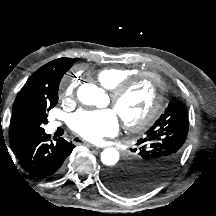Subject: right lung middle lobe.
Returning <instances> with one entry per match:
<instances>
[{
  "mask_svg": "<svg viewBox=\"0 0 216 216\" xmlns=\"http://www.w3.org/2000/svg\"><path fill=\"white\" fill-rule=\"evenodd\" d=\"M50 109L51 108H47V109L43 110L41 116L31 123L32 132H40V131L44 130L42 128V125L46 124L48 122L46 111H49Z\"/></svg>",
  "mask_w": 216,
  "mask_h": 216,
  "instance_id": "1",
  "label": "right lung middle lobe"
}]
</instances>
